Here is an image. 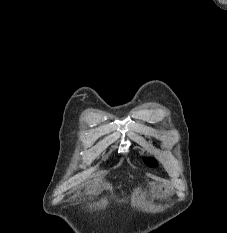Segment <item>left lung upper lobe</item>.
<instances>
[{
    "mask_svg": "<svg viewBox=\"0 0 227 233\" xmlns=\"http://www.w3.org/2000/svg\"><path fill=\"white\" fill-rule=\"evenodd\" d=\"M146 163H148L149 165H154V160L153 159H150V158H146L145 159Z\"/></svg>",
    "mask_w": 227,
    "mask_h": 233,
    "instance_id": "obj_1",
    "label": "left lung upper lobe"
}]
</instances>
